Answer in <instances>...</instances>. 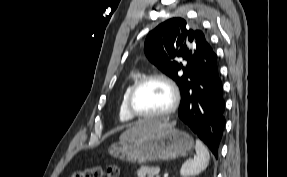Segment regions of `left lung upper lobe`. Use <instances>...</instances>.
<instances>
[{
    "mask_svg": "<svg viewBox=\"0 0 287 177\" xmlns=\"http://www.w3.org/2000/svg\"><path fill=\"white\" fill-rule=\"evenodd\" d=\"M147 58L172 78L180 90L197 68L209 58L212 48L199 30L182 18H171L150 31L145 40ZM182 57L186 64L177 59ZM182 70L183 74H178Z\"/></svg>",
    "mask_w": 287,
    "mask_h": 177,
    "instance_id": "left-lung-upper-lobe-1",
    "label": "left lung upper lobe"
}]
</instances>
